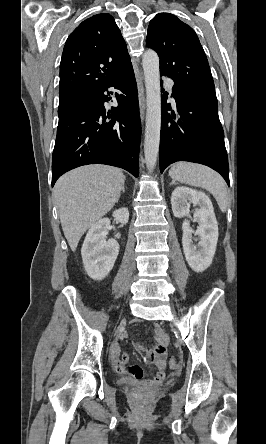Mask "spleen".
I'll use <instances>...</instances> for the list:
<instances>
[{
    "mask_svg": "<svg viewBox=\"0 0 266 444\" xmlns=\"http://www.w3.org/2000/svg\"><path fill=\"white\" fill-rule=\"evenodd\" d=\"M174 181H179L209 191L216 199L222 212L227 210L228 193L225 181L214 170L189 162H177L169 170Z\"/></svg>",
    "mask_w": 266,
    "mask_h": 444,
    "instance_id": "spleen-1",
    "label": "spleen"
}]
</instances>
